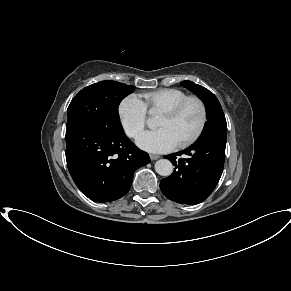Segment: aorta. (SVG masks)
<instances>
[{
	"instance_id": "762f6f07",
	"label": "aorta",
	"mask_w": 291,
	"mask_h": 291,
	"mask_svg": "<svg viewBox=\"0 0 291 291\" xmlns=\"http://www.w3.org/2000/svg\"><path fill=\"white\" fill-rule=\"evenodd\" d=\"M147 124L152 127L154 120L152 118L148 119ZM155 171L161 176H170L173 172V165L167 159H160L155 163Z\"/></svg>"
}]
</instances>
